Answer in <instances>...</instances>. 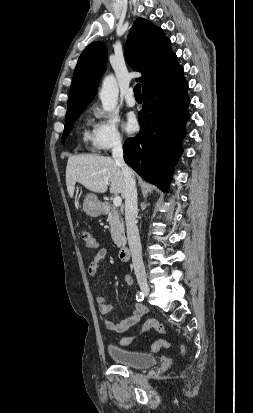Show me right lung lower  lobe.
Listing matches in <instances>:
<instances>
[{"label": "right lung lower lobe", "mask_w": 253, "mask_h": 413, "mask_svg": "<svg viewBox=\"0 0 253 413\" xmlns=\"http://www.w3.org/2000/svg\"><path fill=\"white\" fill-rule=\"evenodd\" d=\"M188 83L183 68L143 91V106L138 114L141 131L123 145L124 160L146 181L164 192L173 164L182 153L181 140L189 119Z\"/></svg>", "instance_id": "obj_1"}]
</instances>
